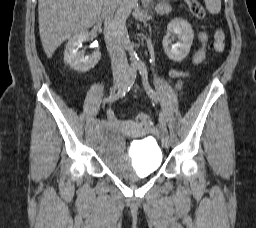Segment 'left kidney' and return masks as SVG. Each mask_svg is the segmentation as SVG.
<instances>
[{"mask_svg":"<svg viewBox=\"0 0 256 228\" xmlns=\"http://www.w3.org/2000/svg\"><path fill=\"white\" fill-rule=\"evenodd\" d=\"M175 35L178 36V42L172 44ZM193 38V29L187 21L180 18L172 20L162 41L165 54L172 61L181 62L189 54Z\"/></svg>","mask_w":256,"mask_h":228,"instance_id":"1","label":"left kidney"}]
</instances>
